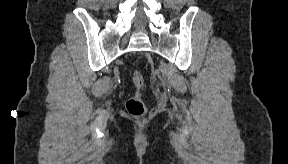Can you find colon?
<instances>
[{
	"label": "colon",
	"mask_w": 288,
	"mask_h": 164,
	"mask_svg": "<svg viewBox=\"0 0 288 164\" xmlns=\"http://www.w3.org/2000/svg\"><path fill=\"white\" fill-rule=\"evenodd\" d=\"M132 81L135 93L126 101V110L130 116L142 117L146 114V104L142 98V92L145 89V79L139 71L132 73Z\"/></svg>",
	"instance_id": "colon-1"
}]
</instances>
